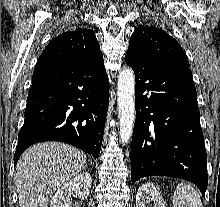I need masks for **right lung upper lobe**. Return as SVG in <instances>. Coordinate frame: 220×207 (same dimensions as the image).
<instances>
[{
    "label": "right lung upper lobe",
    "mask_w": 220,
    "mask_h": 207,
    "mask_svg": "<svg viewBox=\"0 0 220 207\" xmlns=\"http://www.w3.org/2000/svg\"><path fill=\"white\" fill-rule=\"evenodd\" d=\"M100 53L95 33L86 28H77L55 37L42 52L36 67L71 66Z\"/></svg>",
    "instance_id": "obj_1"
}]
</instances>
